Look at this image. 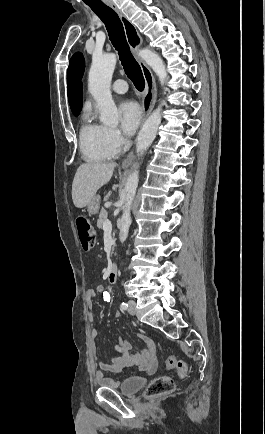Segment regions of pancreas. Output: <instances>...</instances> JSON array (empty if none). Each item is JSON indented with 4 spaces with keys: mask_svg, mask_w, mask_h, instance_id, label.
Wrapping results in <instances>:
<instances>
[{
    "mask_svg": "<svg viewBox=\"0 0 265 434\" xmlns=\"http://www.w3.org/2000/svg\"><path fill=\"white\" fill-rule=\"evenodd\" d=\"M108 212L102 208L100 214H99V220L97 222V228H100V230H103V224L105 220H107Z\"/></svg>",
    "mask_w": 265,
    "mask_h": 434,
    "instance_id": "obj_1",
    "label": "pancreas"
}]
</instances>
